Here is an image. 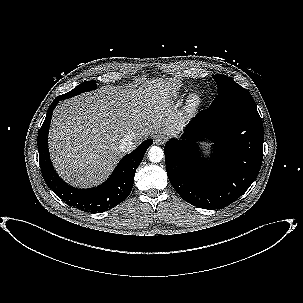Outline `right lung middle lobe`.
I'll return each instance as SVG.
<instances>
[{
	"mask_svg": "<svg viewBox=\"0 0 303 303\" xmlns=\"http://www.w3.org/2000/svg\"><path fill=\"white\" fill-rule=\"evenodd\" d=\"M97 88L96 82L95 81H86L81 84H79L77 87H75L73 90L70 92L63 94V96L67 98H71L73 96H76L78 94H81L83 92H87L90 90H94Z\"/></svg>",
	"mask_w": 303,
	"mask_h": 303,
	"instance_id": "dd1d6c3e",
	"label": "right lung middle lobe"
}]
</instances>
